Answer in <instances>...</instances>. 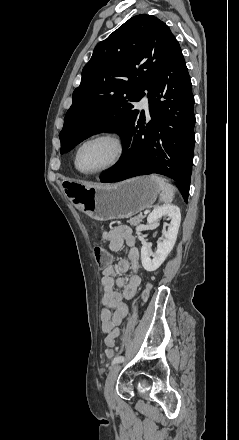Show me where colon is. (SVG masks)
Masks as SVG:
<instances>
[{"instance_id": "1", "label": "colon", "mask_w": 239, "mask_h": 440, "mask_svg": "<svg viewBox=\"0 0 239 440\" xmlns=\"http://www.w3.org/2000/svg\"><path fill=\"white\" fill-rule=\"evenodd\" d=\"M95 257L97 260V263L101 267H106L110 264L111 256L109 252L102 248V247H96L94 249ZM151 290V285L147 284L145 289L142 292V299L145 300L148 298L149 292ZM116 355V349L115 348H109L106 350V357L111 359Z\"/></svg>"}]
</instances>
